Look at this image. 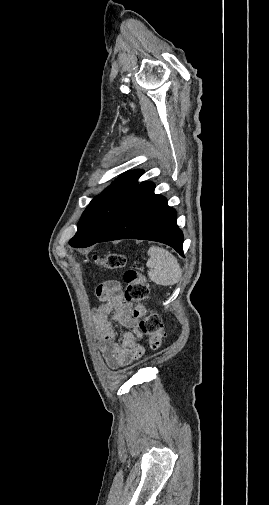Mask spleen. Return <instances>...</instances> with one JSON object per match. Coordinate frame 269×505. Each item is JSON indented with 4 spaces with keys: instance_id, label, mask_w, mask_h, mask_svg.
Returning <instances> with one entry per match:
<instances>
[{
    "instance_id": "1",
    "label": "spleen",
    "mask_w": 269,
    "mask_h": 505,
    "mask_svg": "<svg viewBox=\"0 0 269 505\" xmlns=\"http://www.w3.org/2000/svg\"><path fill=\"white\" fill-rule=\"evenodd\" d=\"M147 253L149 259L146 266L150 268L148 276L151 281L162 286H171L180 281L182 269L171 252L158 246H151Z\"/></svg>"
}]
</instances>
